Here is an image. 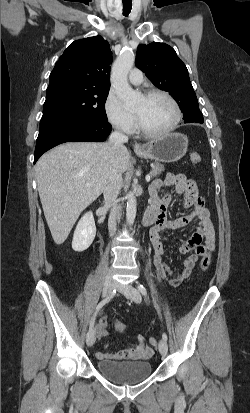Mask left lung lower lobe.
Masks as SVG:
<instances>
[{"label":"left lung lower lobe","mask_w":250,"mask_h":413,"mask_svg":"<svg viewBox=\"0 0 250 413\" xmlns=\"http://www.w3.org/2000/svg\"><path fill=\"white\" fill-rule=\"evenodd\" d=\"M183 120L185 123H203V115L187 114L184 115Z\"/></svg>","instance_id":"obj_1"}]
</instances>
